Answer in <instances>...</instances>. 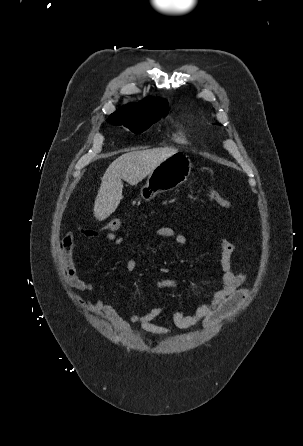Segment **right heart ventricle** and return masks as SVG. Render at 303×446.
<instances>
[{
	"label": "right heart ventricle",
	"mask_w": 303,
	"mask_h": 446,
	"mask_svg": "<svg viewBox=\"0 0 303 446\" xmlns=\"http://www.w3.org/2000/svg\"><path fill=\"white\" fill-rule=\"evenodd\" d=\"M174 139L178 143H182V144L187 143V139L181 131H179L178 133L175 134Z\"/></svg>",
	"instance_id": "e07e8e85"
}]
</instances>
